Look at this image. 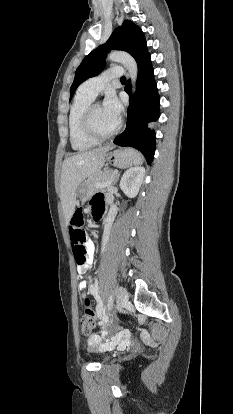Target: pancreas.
<instances>
[{"instance_id":"cf45deb5","label":"pancreas","mask_w":233,"mask_h":414,"mask_svg":"<svg viewBox=\"0 0 233 414\" xmlns=\"http://www.w3.org/2000/svg\"><path fill=\"white\" fill-rule=\"evenodd\" d=\"M116 174V171L113 169H106L103 171H98L90 175L87 180V188L90 195L95 192L96 190L105 188L107 186H103L109 179H111ZM100 185V186H98Z\"/></svg>"}]
</instances>
